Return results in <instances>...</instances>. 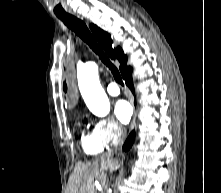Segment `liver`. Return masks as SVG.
<instances>
[{
	"label": "liver",
	"instance_id": "6515ba94",
	"mask_svg": "<svg viewBox=\"0 0 221 193\" xmlns=\"http://www.w3.org/2000/svg\"><path fill=\"white\" fill-rule=\"evenodd\" d=\"M118 161L113 158V153L109 152L86 164H76L72 172L66 193H94V176L99 172L109 170L113 172Z\"/></svg>",
	"mask_w": 221,
	"mask_h": 193
}]
</instances>
